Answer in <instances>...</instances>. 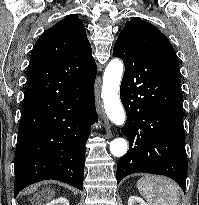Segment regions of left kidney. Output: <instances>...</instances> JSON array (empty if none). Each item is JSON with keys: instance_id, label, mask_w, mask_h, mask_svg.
<instances>
[{"instance_id": "obj_1", "label": "left kidney", "mask_w": 199, "mask_h": 205, "mask_svg": "<svg viewBox=\"0 0 199 205\" xmlns=\"http://www.w3.org/2000/svg\"><path fill=\"white\" fill-rule=\"evenodd\" d=\"M128 205H148V204L138 196H130L128 199Z\"/></svg>"}]
</instances>
